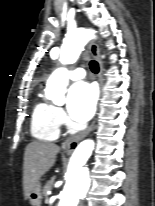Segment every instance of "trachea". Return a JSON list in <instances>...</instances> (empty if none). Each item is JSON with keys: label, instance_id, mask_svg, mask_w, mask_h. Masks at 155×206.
I'll use <instances>...</instances> for the list:
<instances>
[{"label": "trachea", "instance_id": "trachea-1", "mask_svg": "<svg viewBox=\"0 0 155 206\" xmlns=\"http://www.w3.org/2000/svg\"><path fill=\"white\" fill-rule=\"evenodd\" d=\"M90 69L93 73H98L99 72V65L96 61L92 60L90 61Z\"/></svg>", "mask_w": 155, "mask_h": 206}]
</instances>
